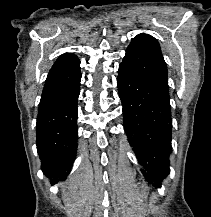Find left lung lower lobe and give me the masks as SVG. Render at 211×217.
I'll use <instances>...</instances> for the list:
<instances>
[{"instance_id": "0a47b994", "label": "left lung lower lobe", "mask_w": 211, "mask_h": 217, "mask_svg": "<svg viewBox=\"0 0 211 217\" xmlns=\"http://www.w3.org/2000/svg\"><path fill=\"white\" fill-rule=\"evenodd\" d=\"M123 125L145 179L155 187L169 174L171 106L169 96L120 64L117 77Z\"/></svg>"}]
</instances>
